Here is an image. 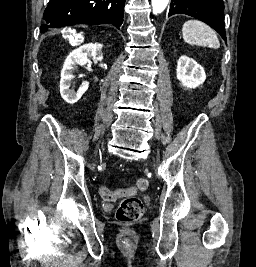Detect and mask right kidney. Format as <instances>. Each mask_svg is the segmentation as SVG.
<instances>
[{
	"instance_id": "ca27d5eb",
	"label": "right kidney",
	"mask_w": 256,
	"mask_h": 267,
	"mask_svg": "<svg viewBox=\"0 0 256 267\" xmlns=\"http://www.w3.org/2000/svg\"><path fill=\"white\" fill-rule=\"evenodd\" d=\"M102 48L103 44H84V46L73 50V52H70L69 56H67L61 70L60 80V94L67 104H76L89 88V82H83L77 92L70 90L72 80L75 78V76H73L74 68H77V66H84V64L90 62L91 58H94V60L100 58L99 54H101Z\"/></svg>"
}]
</instances>
